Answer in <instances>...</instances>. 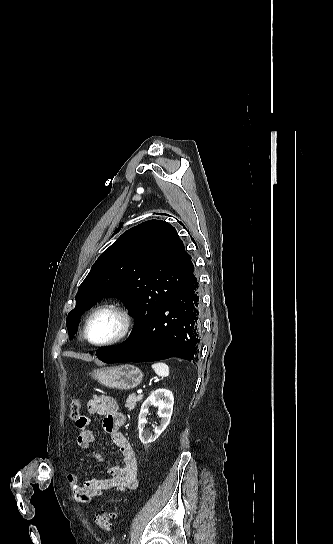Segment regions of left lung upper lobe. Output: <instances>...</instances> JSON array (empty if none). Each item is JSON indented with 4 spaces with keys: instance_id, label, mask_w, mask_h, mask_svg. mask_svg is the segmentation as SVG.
<instances>
[{
    "instance_id": "1",
    "label": "left lung upper lobe",
    "mask_w": 333,
    "mask_h": 544,
    "mask_svg": "<svg viewBox=\"0 0 333 544\" xmlns=\"http://www.w3.org/2000/svg\"><path fill=\"white\" fill-rule=\"evenodd\" d=\"M193 271L191 256L169 223L149 220L130 228L100 255L80 285L66 320L69 339L82 313L112 294L128 303L138 326L152 318Z\"/></svg>"
}]
</instances>
